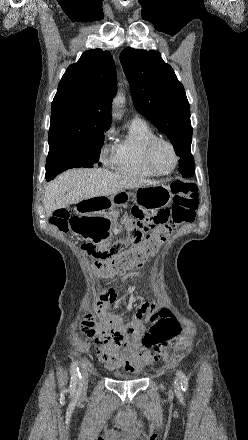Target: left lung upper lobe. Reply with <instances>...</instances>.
Masks as SVG:
<instances>
[{
  "mask_svg": "<svg viewBox=\"0 0 248 440\" xmlns=\"http://www.w3.org/2000/svg\"><path fill=\"white\" fill-rule=\"evenodd\" d=\"M120 61L131 87L135 108L164 133L180 156L183 176L194 173L190 147V106L183 85L157 51L125 48Z\"/></svg>",
  "mask_w": 248,
  "mask_h": 440,
  "instance_id": "obj_1",
  "label": "left lung upper lobe"
}]
</instances>
